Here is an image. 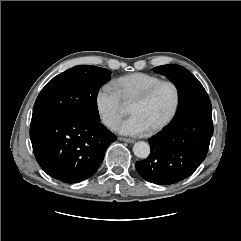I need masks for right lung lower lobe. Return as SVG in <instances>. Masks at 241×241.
I'll list each match as a JSON object with an SVG mask.
<instances>
[{"mask_svg": "<svg viewBox=\"0 0 241 241\" xmlns=\"http://www.w3.org/2000/svg\"><path fill=\"white\" fill-rule=\"evenodd\" d=\"M30 139L40 167L52 178L71 184L97 171L116 136L100 121L54 114L32 118Z\"/></svg>", "mask_w": 241, "mask_h": 241, "instance_id": "1", "label": "right lung lower lobe"}]
</instances>
